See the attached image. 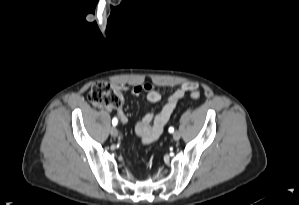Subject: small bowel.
Returning <instances> with one entry per match:
<instances>
[{
  "mask_svg": "<svg viewBox=\"0 0 299 205\" xmlns=\"http://www.w3.org/2000/svg\"><path fill=\"white\" fill-rule=\"evenodd\" d=\"M196 88L197 85L195 83L184 82L171 95L164 99L163 95L150 83L134 86L130 90L131 93L136 95L140 92H145V98L149 103L155 104L164 101L159 112H148L136 123L135 131L139 141L143 144H149L157 140L163 133L178 102L186 93ZM117 114L120 121L126 124L128 118L122 108L117 110Z\"/></svg>",
  "mask_w": 299,
  "mask_h": 205,
  "instance_id": "c3829d8e",
  "label": "small bowel"
}]
</instances>
